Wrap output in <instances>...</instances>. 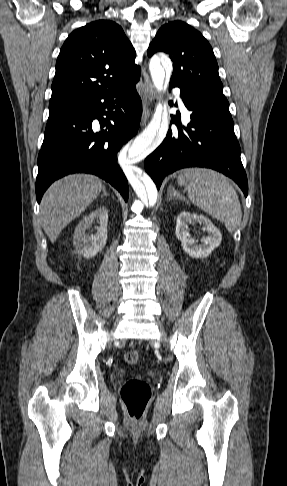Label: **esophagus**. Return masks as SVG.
Masks as SVG:
<instances>
[{"label":"esophagus","mask_w":287,"mask_h":486,"mask_svg":"<svg viewBox=\"0 0 287 486\" xmlns=\"http://www.w3.org/2000/svg\"><path fill=\"white\" fill-rule=\"evenodd\" d=\"M144 76V96H143V113H142V119H141V125H145L150 114H151V109H150V104L155 98V90L154 86L149 78V76L143 72Z\"/></svg>","instance_id":"34e87169"}]
</instances>
